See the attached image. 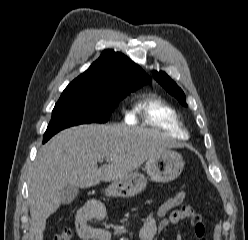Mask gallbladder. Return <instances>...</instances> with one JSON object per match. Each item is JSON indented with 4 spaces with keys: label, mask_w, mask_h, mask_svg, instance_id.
Instances as JSON below:
<instances>
[{
    "label": "gallbladder",
    "mask_w": 248,
    "mask_h": 240,
    "mask_svg": "<svg viewBox=\"0 0 248 240\" xmlns=\"http://www.w3.org/2000/svg\"><path fill=\"white\" fill-rule=\"evenodd\" d=\"M62 203L67 205L71 203L78 195V187L72 185H65L61 190Z\"/></svg>",
    "instance_id": "gallbladder-1"
}]
</instances>
